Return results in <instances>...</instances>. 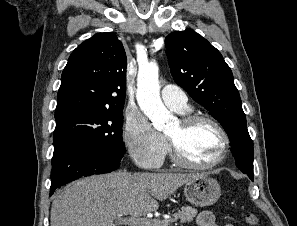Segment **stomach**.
<instances>
[{
  "label": "stomach",
  "mask_w": 297,
  "mask_h": 226,
  "mask_svg": "<svg viewBox=\"0 0 297 226\" xmlns=\"http://www.w3.org/2000/svg\"><path fill=\"white\" fill-rule=\"evenodd\" d=\"M186 199L197 206L213 205L221 195V187L216 179L200 175L185 184Z\"/></svg>",
  "instance_id": "0dacf381"
}]
</instances>
